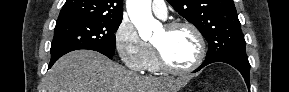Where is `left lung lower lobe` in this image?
Segmentation results:
<instances>
[{"instance_id": "left-lung-lower-lobe-1", "label": "left lung lower lobe", "mask_w": 289, "mask_h": 92, "mask_svg": "<svg viewBox=\"0 0 289 92\" xmlns=\"http://www.w3.org/2000/svg\"><path fill=\"white\" fill-rule=\"evenodd\" d=\"M214 62L227 63V64H230L231 66H233L234 68H236L244 77L245 82L247 84V87L250 90V81H249L250 64H249L247 57L229 56V55L218 56L215 58H211L209 60H205L199 68L194 70V72H197L200 69H202L204 66H206L210 63H214Z\"/></svg>"}]
</instances>
